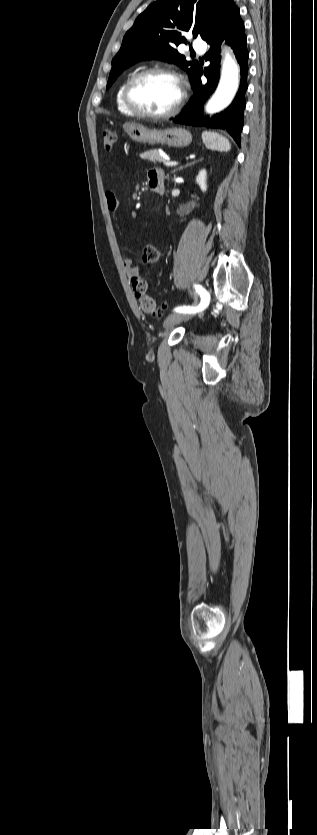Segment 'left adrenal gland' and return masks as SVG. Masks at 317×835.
<instances>
[{
  "instance_id": "1",
  "label": "left adrenal gland",
  "mask_w": 317,
  "mask_h": 835,
  "mask_svg": "<svg viewBox=\"0 0 317 835\" xmlns=\"http://www.w3.org/2000/svg\"><path fill=\"white\" fill-rule=\"evenodd\" d=\"M202 160H203V158H201V159H200V160H198V161H193V162H191V163H189V164H186V166H185V167L191 166V165H193V164H195V163H197V162H199V161H202ZM182 169H183V167H182V166H180L178 169L173 170V172H172V173L176 172L177 170H182Z\"/></svg>"
}]
</instances>
